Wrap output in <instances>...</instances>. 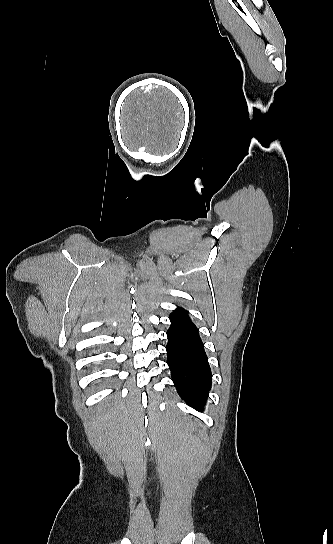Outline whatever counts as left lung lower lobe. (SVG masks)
<instances>
[{
    "label": "left lung lower lobe",
    "instance_id": "obj_1",
    "mask_svg": "<svg viewBox=\"0 0 333 544\" xmlns=\"http://www.w3.org/2000/svg\"><path fill=\"white\" fill-rule=\"evenodd\" d=\"M169 318L166 351L172 380L182 399L196 410H202L212 379L202 340L186 311L178 307Z\"/></svg>",
    "mask_w": 333,
    "mask_h": 544
}]
</instances>
